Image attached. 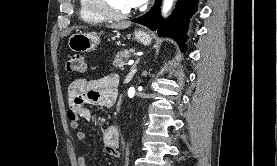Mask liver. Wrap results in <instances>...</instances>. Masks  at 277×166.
Returning <instances> with one entry per match:
<instances>
[{
	"instance_id": "liver-1",
	"label": "liver",
	"mask_w": 277,
	"mask_h": 166,
	"mask_svg": "<svg viewBox=\"0 0 277 166\" xmlns=\"http://www.w3.org/2000/svg\"><path fill=\"white\" fill-rule=\"evenodd\" d=\"M131 25V22L127 21V22H121V23H115V24H112L110 26H108L109 28H112V29H126L128 27H130Z\"/></svg>"
}]
</instances>
